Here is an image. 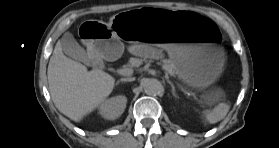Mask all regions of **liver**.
<instances>
[{
  "instance_id": "6515ba94",
  "label": "liver",
  "mask_w": 279,
  "mask_h": 148,
  "mask_svg": "<svg viewBox=\"0 0 279 148\" xmlns=\"http://www.w3.org/2000/svg\"><path fill=\"white\" fill-rule=\"evenodd\" d=\"M48 83L56 108L75 122L93 112L111 94L115 79L102 70L86 66L64 55L57 42L48 65Z\"/></svg>"
}]
</instances>
